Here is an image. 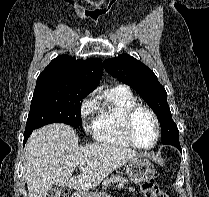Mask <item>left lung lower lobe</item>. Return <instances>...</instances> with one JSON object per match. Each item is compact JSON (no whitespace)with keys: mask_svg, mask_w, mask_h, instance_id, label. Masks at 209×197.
<instances>
[{"mask_svg":"<svg viewBox=\"0 0 209 197\" xmlns=\"http://www.w3.org/2000/svg\"><path fill=\"white\" fill-rule=\"evenodd\" d=\"M172 145H173L174 147H176L177 149H179V150L182 152L180 143H174V144H172Z\"/></svg>","mask_w":209,"mask_h":197,"instance_id":"1","label":"left lung lower lobe"}]
</instances>
